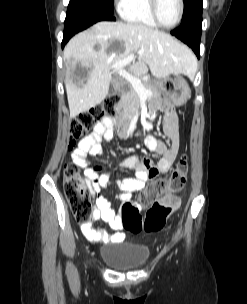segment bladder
Wrapping results in <instances>:
<instances>
[{"mask_svg":"<svg viewBox=\"0 0 247 304\" xmlns=\"http://www.w3.org/2000/svg\"><path fill=\"white\" fill-rule=\"evenodd\" d=\"M149 256L148 247L124 242L107 243L100 249L101 259L119 271L138 269L147 262Z\"/></svg>","mask_w":247,"mask_h":304,"instance_id":"bladder-1","label":"bladder"}]
</instances>
